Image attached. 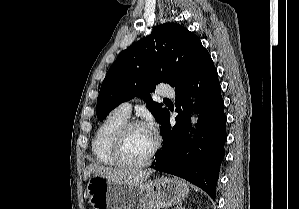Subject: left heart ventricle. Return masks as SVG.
<instances>
[{
	"label": "left heart ventricle",
	"mask_w": 299,
	"mask_h": 209,
	"mask_svg": "<svg viewBox=\"0 0 299 209\" xmlns=\"http://www.w3.org/2000/svg\"><path fill=\"white\" fill-rule=\"evenodd\" d=\"M153 147V135L146 128H133L124 141L123 156L129 162H141L150 153Z\"/></svg>",
	"instance_id": "obj_1"
}]
</instances>
